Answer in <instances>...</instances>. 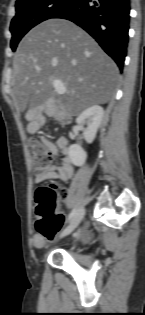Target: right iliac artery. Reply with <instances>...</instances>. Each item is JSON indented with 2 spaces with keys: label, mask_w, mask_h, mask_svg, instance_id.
I'll list each match as a JSON object with an SVG mask.
<instances>
[{
  "label": "right iliac artery",
  "mask_w": 145,
  "mask_h": 315,
  "mask_svg": "<svg viewBox=\"0 0 145 315\" xmlns=\"http://www.w3.org/2000/svg\"><path fill=\"white\" fill-rule=\"evenodd\" d=\"M75 214H76V209H73L68 216L67 222H69L74 217Z\"/></svg>",
  "instance_id": "obj_1"
}]
</instances>
